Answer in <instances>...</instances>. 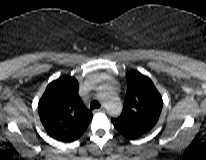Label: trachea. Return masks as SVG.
Instances as JSON below:
<instances>
[{"label": "trachea", "instance_id": "3493384b", "mask_svg": "<svg viewBox=\"0 0 206 160\" xmlns=\"http://www.w3.org/2000/svg\"><path fill=\"white\" fill-rule=\"evenodd\" d=\"M100 107V104L97 100H93L91 103H90V108L91 109H97Z\"/></svg>", "mask_w": 206, "mask_h": 160}]
</instances>
